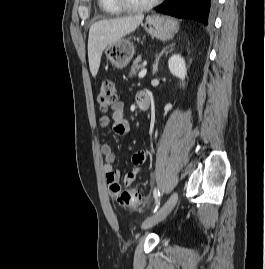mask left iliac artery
Returning a JSON list of instances; mask_svg holds the SVG:
<instances>
[{"mask_svg":"<svg viewBox=\"0 0 265 269\" xmlns=\"http://www.w3.org/2000/svg\"><path fill=\"white\" fill-rule=\"evenodd\" d=\"M153 195H154V198L156 200V207H155V210H154V212H156V210L160 206V192H159V189L158 188H154Z\"/></svg>","mask_w":265,"mask_h":269,"instance_id":"obj_1","label":"left iliac artery"}]
</instances>
